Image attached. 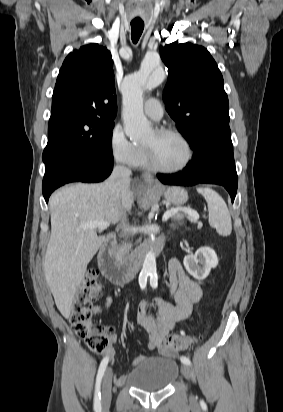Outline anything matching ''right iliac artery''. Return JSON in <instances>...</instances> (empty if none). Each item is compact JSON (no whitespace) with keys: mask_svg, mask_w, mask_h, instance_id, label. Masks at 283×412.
<instances>
[{"mask_svg":"<svg viewBox=\"0 0 283 412\" xmlns=\"http://www.w3.org/2000/svg\"><path fill=\"white\" fill-rule=\"evenodd\" d=\"M147 274H144L141 278H140V287L141 289H144L146 287V283H147ZM108 361L109 358L105 357L103 358V360L101 361V364L99 366V370H98V374H97V378H96V385H95V395H94V409L96 412H100L101 410V392H100V388H101V381L104 375V372L106 370V367L108 365Z\"/></svg>","mask_w":283,"mask_h":412,"instance_id":"right-iliac-artery-1","label":"right iliac artery"}]
</instances>
